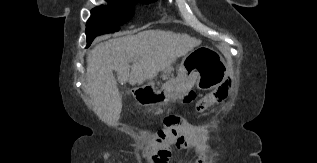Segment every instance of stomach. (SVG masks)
Returning <instances> with one entry per match:
<instances>
[{
    "label": "stomach",
    "instance_id": "1",
    "mask_svg": "<svg viewBox=\"0 0 317 163\" xmlns=\"http://www.w3.org/2000/svg\"><path fill=\"white\" fill-rule=\"evenodd\" d=\"M192 54L199 57L194 62H183L175 79L157 86H147L137 92V103L154 107L183 101L194 85L201 90H211L225 81L228 67L217 51L205 46L196 49Z\"/></svg>",
    "mask_w": 317,
    "mask_h": 163
}]
</instances>
